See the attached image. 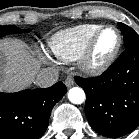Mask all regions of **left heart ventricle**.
<instances>
[{"label":"left heart ventricle","mask_w":139,"mask_h":139,"mask_svg":"<svg viewBox=\"0 0 139 139\" xmlns=\"http://www.w3.org/2000/svg\"><path fill=\"white\" fill-rule=\"evenodd\" d=\"M118 37L114 30H106L99 37L93 55L95 62L105 60L115 49Z\"/></svg>","instance_id":"obj_1"}]
</instances>
